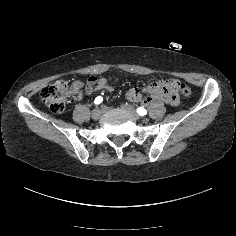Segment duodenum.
I'll list each match as a JSON object with an SVG mask.
<instances>
[{
    "mask_svg": "<svg viewBox=\"0 0 236 236\" xmlns=\"http://www.w3.org/2000/svg\"><path fill=\"white\" fill-rule=\"evenodd\" d=\"M175 86L171 83H161L157 86L152 96L144 100L145 105H151L157 101H164L175 105L177 100L175 96Z\"/></svg>",
    "mask_w": 236,
    "mask_h": 236,
    "instance_id": "obj_1",
    "label": "duodenum"
}]
</instances>
